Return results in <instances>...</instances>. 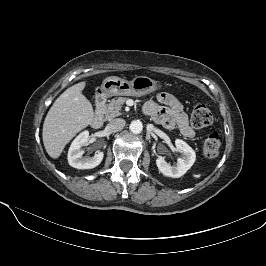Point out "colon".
<instances>
[{"label": "colon", "instance_id": "5ec220e1", "mask_svg": "<svg viewBox=\"0 0 266 266\" xmlns=\"http://www.w3.org/2000/svg\"><path fill=\"white\" fill-rule=\"evenodd\" d=\"M213 121L212 114L204 104H197L191 114V123L195 128H204ZM221 150V140L215 132L210 133L202 143V152L207 158H215Z\"/></svg>", "mask_w": 266, "mask_h": 266}]
</instances>
